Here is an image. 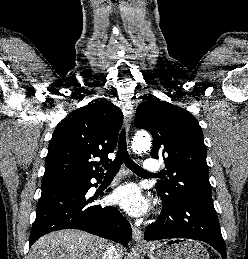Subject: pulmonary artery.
<instances>
[{
    "mask_svg": "<svg viewBox=\"0 0 248 259\" xmlns=\"http://www.w3.org/2000/svg\"><path fill=\"white\" fill-rule=\"evenodd\" d=\"M143 169L148 172V173H156L160 170V164L158 163L157 160L153 158H148L144 162V167Z\"/></svg>",
    "mask_w": 248,
    "mask_h": 259,
    "instance_id": "1",
    "label": "pulmonary artery"
}]
</instances>
